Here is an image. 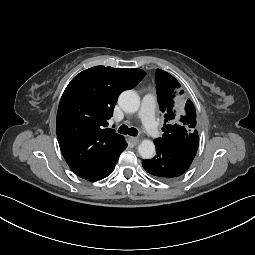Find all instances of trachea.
<instances>
[{"mask_svg":"<svg viewBox=\"0 0 255 255\" xmlns=\"http://www.w3.org/2000/svg\"><path fill=\"white\" fill-rule=\"evenodd\" d=\"M118 132L121 134H129L131 136H137L138 130L135 128H128L126 125H121L118 129Z\"/></svg>","mask_w":255,"mask_h":255,"instance_id":"trachea-1","label":"trachea"}]
</instances>
